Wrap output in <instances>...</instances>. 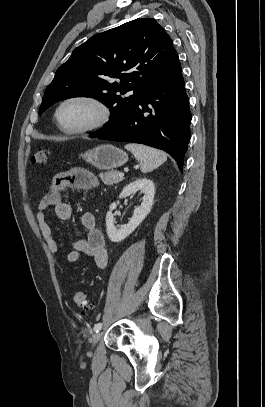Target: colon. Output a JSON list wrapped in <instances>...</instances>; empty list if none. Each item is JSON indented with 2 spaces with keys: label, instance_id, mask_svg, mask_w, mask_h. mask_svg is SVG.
<instances>
[{
  "label": "colon",
  "instance_id": "5ec220e1",
  "mask_svg": "<svg viewBox=\"0 0 265 407\" xmlns=\"http://www.w3.org/2000/svg\"><path fill=\"white\" fill-rule=\"evenodd\" d=\"M49 156V150L39 149L33 154L31 161L34 165H45L49 160ZM73 302L82 311V313H87L93 308V305L88 300L87 295L80 290L74 292Z\"/></svg>",
  "mask_w": 265,
  "mask_h": 407
}]
</instances>
